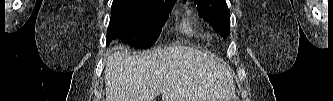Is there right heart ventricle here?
Instances as JSON below:
<instances>
[{
	"mask_svg": "<svg viewBox=\"0 0 333 101\" xmlns=\"http://www.w3.org/2000/svg\"><path fill=\"white\" fill-rule=\"evenodd\" d=\"M190 16V13H188L181 21L182 28L187 32H190L193 26V21Z\"/></svg>",
	"mask_w": 333,
	"mask_h": 101,
	"instance_id": "1",
	"label": "right heart ventricle"
}]
</instances>
